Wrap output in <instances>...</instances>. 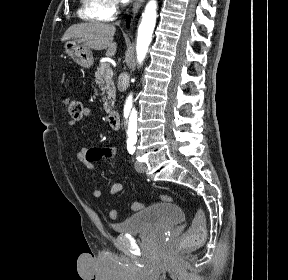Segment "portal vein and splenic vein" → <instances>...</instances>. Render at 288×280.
Returning a JSON list of instances; mask_svg holds the SVG:
<instances>
[{
  "instance_id": "18ae733b",
  "label": "portal vein and splenic vein",
  "mask_w": 288,
  "mask_h": 280,
  "mask_svg": "<svg viewBox=\"0 0 288 280\" xmlns=\"http://www.w3.org/2000/svg\"><path fill=\"white\" fill-rule=\"evenodd\" d=\"M113 76V71L110 69L107 72V78L112 77Z\"/></svg>"
}]
</instances>
